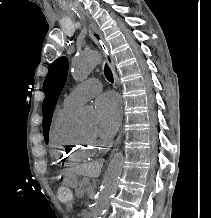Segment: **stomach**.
Segmentation results:
<instances>
[{"label":"stomach","mask_w":211,"mask_h":218,"mask_svg":"<svg viewBox=\"0 0 211 218\" xmlns=\"http://www.w3.org/2000/svg\"><path fill=\"white\" fill-rule=\"evenodd\" d=\"M64 184L69 186V187H72V188H75L78 186L79 182H78V178H77V175L76 174H67L64 176Z\"/></svg>","instance_id":"stomach-1"}]
</instances>
